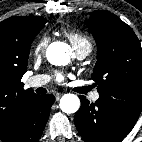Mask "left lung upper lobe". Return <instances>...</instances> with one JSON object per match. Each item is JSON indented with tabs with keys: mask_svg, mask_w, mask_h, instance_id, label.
I'll use <instances>...</instances> for the list:
<instances>
[{
	"mask_svg": "<svg viewBox=\"0 0 142 142\" xmlns=\"http://www.w3.org/2000/svg\"><path fill=\"white\" fill-rule=\"evenodd\" d=\"M87 26L97 43L92 79L100 98L140 114L142 110V48L129 25L109 11H93Z\"/></svg>",
	"mask_w": 142,
	"mask_h": 142,
	"instance_id": "1",
	"label": "left lung upper lobe"
}]
</instances>
